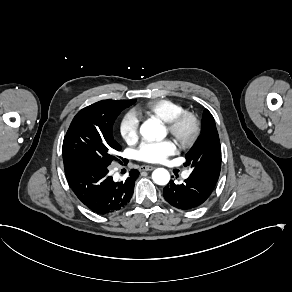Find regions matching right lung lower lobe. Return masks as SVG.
Instances as JSON below:
<instances>
[{
    "label": "right lung lower lobe",
    "instance_id": "1",
    "mask_svg": "<svg viewBox=\"0 0 292 292\" xmlns=\"http://www.w3.org/2000/svg\"><path fill=\"white\" fill-rule=\"evenodd\" d=\"M64 170L77 198L99 215L112 214L125 208L139 175L138 170L132 169L125 181L115 182L108 175V166L84 160L64 161Z\"/></svg>",
    "mask_w": 292,
    "mask_h": 292
}]
</instances>
